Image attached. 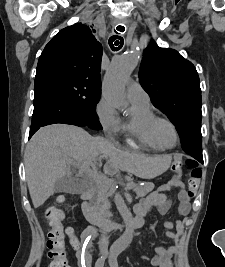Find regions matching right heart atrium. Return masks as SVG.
I'll return each mask as SVG.
<instances>
[{"label":"right heart atrium","mask_w":225,"mask_h":267,"mask_svg":"<svg viewBox=\"0 0 225 267\" xmlns=\"http://www.w3.org/2000/svg\"><path fill=\"white\" fill-rule=\"evenodd\" d=\"M97 116L106 132L115 134L120 129L121 120L116 107L106 97H103L97 105Z\"/></svg>","instance_id":"d8ad5b80"}]
</instances>
